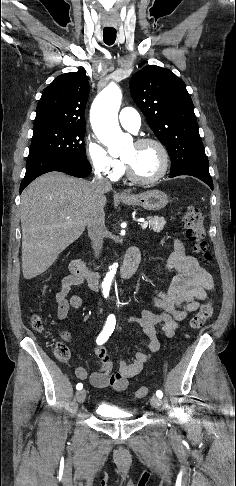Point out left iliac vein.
<instances>
[{
	"label": "left iliac vein",
	"instance_id": "obj_1",
	"mask_svg": "<svg viewBox=\"0 0 236 486\" xmlns=\"http://www.w3.org/2000/svg\"><path fill=\"white\" fill-rule=\"evenodd\" d=\"M150 403L156 409H160L163 406L162 400L157 396H152L150 399Z\"/></svg>",
	"mask_w": 236,
	"mask_h": 486
}]
</instances>
